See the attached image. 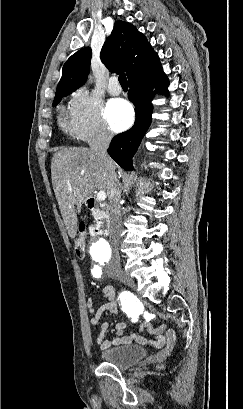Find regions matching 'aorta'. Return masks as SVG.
<instances>
[{
    "label": "aorta",
    "instance_id": "1",
    "mask_svg": "<svg viewBox=\"0 0 243 409\" xmlns=\"http://www.w3.org/2000/svg\"><path fill=\"white\" fill-rule=\"evenodd\" d=\"M106 249L107 242L102 237H98L92 244L91 252L96 256H103L106 252Z\"/></svg>",
    "mask_w": 243,
    "mask_h": 409
}]
</instances>
